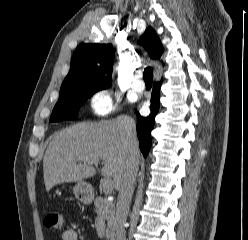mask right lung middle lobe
<instances>
[{"label": "right lung middle lobe", "mask_w": 248, "mask_h": 240, "mask_svg": "<svg viewBox=\"0 0 248 240\" xmlns=\"http://www.w3.org/2000/svg\"><path fill=\"white\" fill-rule=\"evenodd\" d=\"M101 89L95 88H69L61 91L59 100L55 105L50 122L72 120L77 117L80 106L86 99Z\"/></svg>", "instance_id": "right-lung-middle-lobe-1"}]
</instances>
